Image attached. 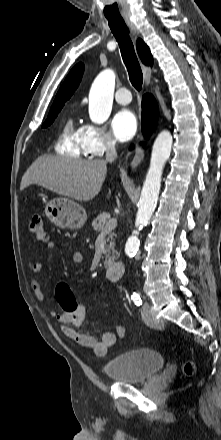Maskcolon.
Segmentation results:
<instances>
[{
  "label": "colon",
  "instance_id": "5ec220e1",
  "mask_svg": "<svg viewBox=\"0 0 221 440\" xmlns=\"http://www.w3.org/2000/svg\"><path fill=\"white\" fill-rule=\"evenodd\" d=\"M29 229L35 235V237L42 242L48 240V234L46 232L43 220L41 216L34 215L29 222ZM56 297L58 299L59 306L61 308L62 315H73L74 311L78 312L81 309L80 303L77 297H73L72 290L67 282H60L55 289ZM105 327H110L116 332L120 339H127L129 332L124 329L123 323L119 320H112L105 322ZM195 366L192 361H186L183 364L182 371L185 375H191L194 373Z\"/></svg>",
  "mask_w": 221,
  "mask_h": 440
}]
</instances>
